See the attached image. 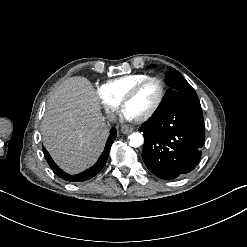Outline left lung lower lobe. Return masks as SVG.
<instances>
[{
  "instance_id": "obj_1",
  "label": "left lung lower lobe",
  "mask_w": 247,
  "mask_h": 247,
  "mask_svg": "<svg viewBox=\"0 0 247 247\" xmlns=\"http://www.w3.org/2000/svg\"><path fill=\"white\" fill-rule=\"evenodd\" d=\"M139 130L145 139L143 161L157 177L175 179L198 164L205 137L200 105L181 104L168 108L153 115Z\"/></svg>"
}]
</instances>
